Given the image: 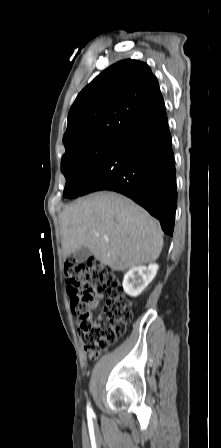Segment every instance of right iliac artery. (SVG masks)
<instances>
[{"label": "right iliac artery", "instance_id": "right-iliac-artery-1", "mask_svg": "<svg viewBox=\"0 0 221 448\" xmlns=\"http://www.w3.org/2000/svg\"><path fill=\"white\" fill-rule=\"evenodd\" d=\"M92 410H91V408L89 407V405H88V407H87V412H91Z\"/></svg>", "mask_w": 221, "mask_h": 448}]
</instances>
